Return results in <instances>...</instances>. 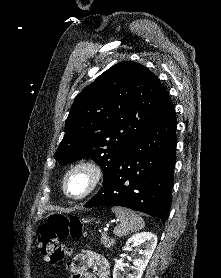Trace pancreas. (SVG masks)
Here are the masks:
<instances>
[{"label":"pancreas","mask_w":221,"mask_h":278,"mask_svg":"<svg viewBox=\"0 0 221 278\" xmlns=\"http://www.w3.org/2000/svg\"><path fill=\"white\" fill-rule=\"evenodd\" d=\"M101 244L106 248H111L115 244V239L108 237L107 234L104 233L101 237Z\"/></svg>","instance_id":"pancreas-1"}]
</instances>
